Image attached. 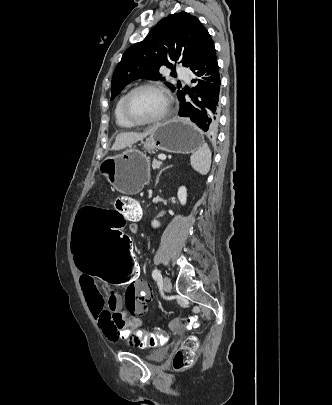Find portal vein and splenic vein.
<instances>
[{"label":"portal vein and splenic vein","mask_w":332,"mask_h":405,"mask_svg":"<svg viewBox=\"0 0 332 405\" xmlns=\"http://www.w3.org/2000/svg\"><path fill=\"white\" fill-rule=\"evenodd\" d=\"M159 159H160V160H165V159H166V156H165V155H160V156H159Z\"/></svg>","instance_id":"portal-vein-and-splenic-vein-1"}]
</instances>
